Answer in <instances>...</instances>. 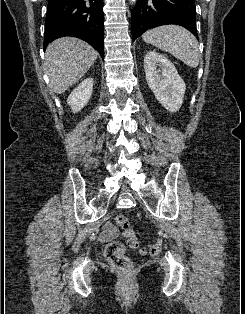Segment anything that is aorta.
I'll return each instance as SVG.
<instances>
[{
  "instance_id": "aorta-1",
  "label": "aorta",
  "mask_w": 245,
  "mask_h": 314,
  "mask_svg": "<svg viewBox=\"0 0 245 314\" xmlns=\"http://www.w3.org/2000/svg\"><path fill=\"white\" fill-rule=\"evenodd\" d=\"M130 4L136 3V0H129Z\"/></svg>"
}]
</instances>
